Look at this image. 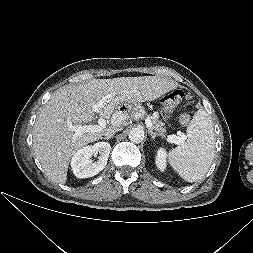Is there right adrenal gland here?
I'll list each match as a JSON object with an SVG mask.
<instances>
[{"instance_id":"obj_1","label":"right adrenal gland","mask_w":253,"mask_h":253,"mask_svg":"<svg viewBox=\"0 0 253 253\" xmlns=\"http://www.w3.org/2000/svg\"><path fill=\"white\" fill-rule=\"evenodd\" d=\"M110 138H113V135H112V136H109V137H105L104 139L109 140Z\"/></svg>"}]
</instances>
